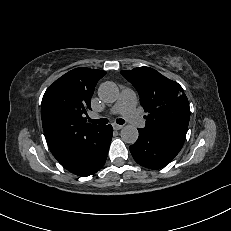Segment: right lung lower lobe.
<instances>
[{
	"label": "right lung lower lobe",
	"mask_w": 231,
	"mask_h": 231,
	"mask_svg": "<svg viewBox=\"0 0 231 231\" xmlns=\"http://www.w3.org/2000/svg\"><path fill=\"white\" fill-rule=\"evenodd\" d=\"M113 128L96 126L80 131L71 149L55 158L71 173L86 177L100 170L107 158Z\"/></svg>",
	"instance_id": "right-lung-lower-lobe-1"
}]
</instances>
